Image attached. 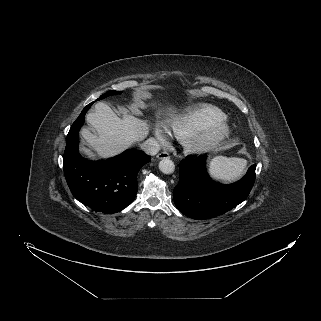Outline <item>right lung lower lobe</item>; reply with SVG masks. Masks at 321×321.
I'll return each instance as SVG.
<instances>
[{"instance_id": "obj_1", "label": "right lung lower lobe", "mask_w": 321, "mask_h": 321, "mask_svg": "<svg viewBox=\"0 0 321 321\" xmlns=\"http://www.w3.org/2000/svg\"><path fill=\"white\" fill-rule=\"evenodd\" d=\"M88 104L71 126L63 156L67 184L73 196L95 211L116 213L127 207L138 190L137 173L151 160L141 150H127L105 161H89L78 151L79 130Z\"/></svg>"}]
</instances>
